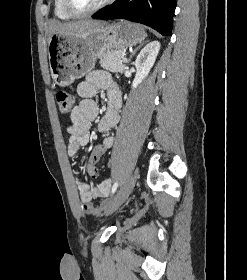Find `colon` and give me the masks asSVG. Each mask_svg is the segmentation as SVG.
I'll use <instances>...</instances> for the list:
<instances>
[{"label":"colon","mask_w":247,"mask_h":280,"mask_svg":"<svg viewBox=\"0 0 247 280\" xmlns=\"http://www.w3.org/2000/svg\"><path fill=\"white\" fill-rule=\"evenodd\" d=\"M56 100H57L59 111L62 114L70 113L74 103V97L72 96V94L66 91H59L56 95ZM105 154H106V145L104 143H95L93 145V149L89 156V167H88V173L91 176H94L95 174L93 165L96 164L100 160L101 156H104Z\"/></svg>","instance_id":"obj_1"}]
</instances>
